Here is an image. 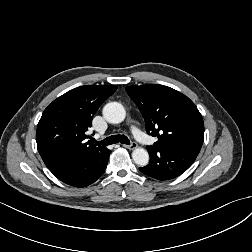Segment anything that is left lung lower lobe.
<instances>
[{
  "instance_id": "obj_1",
  "label": "left lung lower lobe",
  "mask_w": 252,
  "mask_h": 252,
  "mask_svg": "<svg viewBox=\"0 0 252 252\" xmlns=\"http://www.w3.org/2000/svg\"><path fill=\"white\" fill-rule=\"evenodd\" d=\"M149 164L139 170L158 180H170L185 172L195 161L198 154L186 150L155 149L147 147Z\"/></svg>"
}]
</instances>
